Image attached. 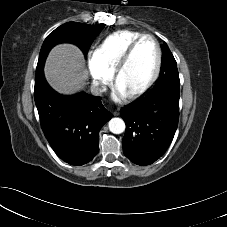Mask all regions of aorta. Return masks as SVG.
I'll return each mask as SVG.
<instances>
[{
  "label": "aorta",
  "mask_w": 227,
  "mask_h": 227,
  "mask_svg": "<svg viewBox=\"0 0 227 227\" xmlns=\"http://www.w3.org/2000/svg\"><path fill=\"white\" fill-rule=\"evenodd\" d=\"M108 126L109 130L114 134H121L125 131V122L121 118H112Z\"/></svg>",
  "instance_id": "aorta-1"
}]
</instances>
